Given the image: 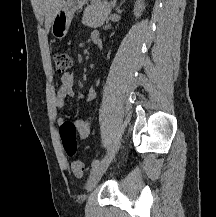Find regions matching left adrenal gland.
I'll list each match as a JSON object with an SVG mask.
<instances>
[{"instance_id":"obj_1","label":"left adrenal gland","mask_w":216,"mask_h":217,"mask_svg":"<svg viewBox=\"0 0 216 217\" xmlns=\"http://www.w3.org/2000/svg\"><path fill=\"white\" fill-rule=\"evenodd\" d=\"M125 2V0H122L119 6L116 8V10H119V8L122 6V4Z\"/></svg>"}]
</instances>
